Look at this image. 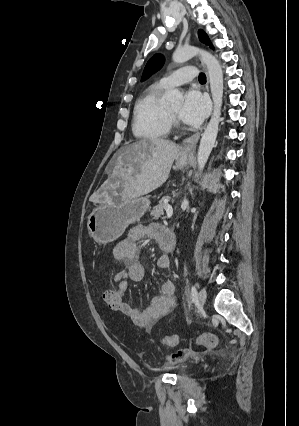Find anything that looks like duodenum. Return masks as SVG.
Instances as JSON below:
<instances>
[{"instance_id":"obj_1","label":"duodenum","mask_w":299,"mask_h":426,"mask_svg":"<svg viewBox=\"0 0 299 426\" xmlns=\"http://www.w3.org/2000/svg\"><path fill=\"white\" fill-rule=\"evenodd\" d=\"M160 247L165 252H172L175 248V235L168 228H164L162 231Z\"/></svg>"}]
</instances>
